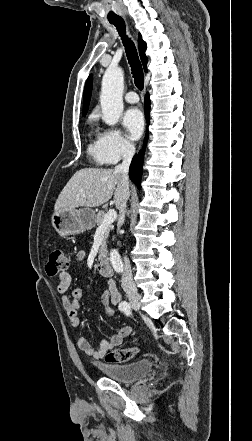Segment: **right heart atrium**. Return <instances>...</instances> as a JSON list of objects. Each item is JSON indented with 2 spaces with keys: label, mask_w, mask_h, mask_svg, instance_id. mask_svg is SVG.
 <instances>
[{
  "label": "right heart atrium",
  "mask_w": 252,
  "mask_h": 441,
  "mask_svg": "<svg viewBox=\"0 0 252 441\" xmlns=\"http://www.w3.org/2000/svg\"><path fill=\"white\" fill-rule=\"evenodd\" d=\"M100 151L104 163L113 165L130 158L135 153L134 145L116 128H108L101 133Z\"/></svg>",
  "instance_id": "d8ad5b80"
}]
</instances>
